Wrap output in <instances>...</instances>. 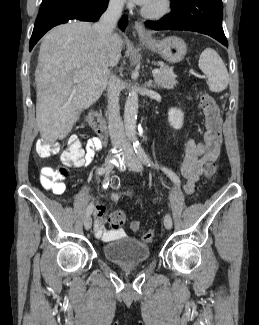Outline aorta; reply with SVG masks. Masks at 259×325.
Returning <instances> with one entry per match:
<instances>
[{"label":"aorta","mask_w":259,"mask_h":325,"mask_svg":"<svg viewBox=\"0 0 259 325\" xmlns=\"http://www.w3.org/2000/svg\"><path fill=\"white\" fill-rule=\"evenodd\" d=\"M138 113V93L136 91H131L126 99L125 109H124V128L128 139L134 142L137 147L139 142L137 141L136 134V120Z\"/></svg>","instance_id":"1"}]
</instances>
